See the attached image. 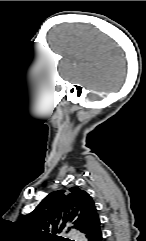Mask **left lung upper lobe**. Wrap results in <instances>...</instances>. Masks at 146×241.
<instances>
[{"label": "left lung upper lobe", "mask_w": 146, "mask_h": 241, "mask_svg": "<svg viewBox=\"0 0 146 241\" xmlns=\"http://www.w3.org/2000/svg\"><path fill=\"white\" fill-rule=\"evenodd\" d=\"M99 219L90 195L78 187L47 195L21 223L37 241H65L61 233L67 224L83 230Z\"/></svg>", "instance_id": "left-lung-upper-lobe-1"}]
</instances>
